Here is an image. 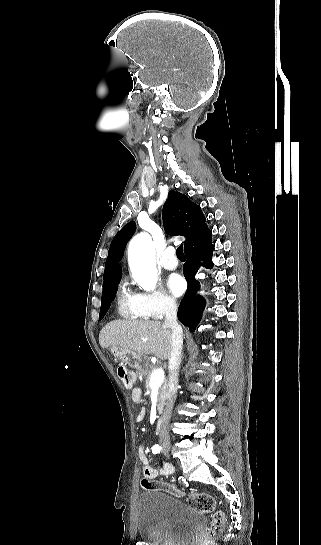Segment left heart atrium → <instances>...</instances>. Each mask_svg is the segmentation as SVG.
I'll use <instances>...</instances> for the list:
<instances>
[{
  "instance_id": "obj_1",
  "label": "left heart atrium",
  "mask_w": 321,
  "mask_h": 545,
  "mask_svg": "<svg viewBox=\"0 0 321 545\" xmlns=\"http://www.w3.org/2000/svg\"><path fill=\"white\" fill-rule=\"evenodd\" d=\"M166 287L171 294L178 296L185 290L186 283L180 275L170 274L166 279Z\"/></svg>"
}]
</instances>
